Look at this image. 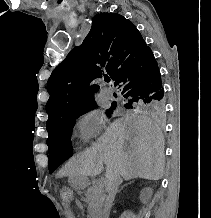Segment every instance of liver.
<instances>
[{
  "label": "liver",
  "mask_w": 211,
  "mask_h": 218,
  "mask_svg": "<svg viewBox=\"0 0 211 218\" xmlns=\"http://www.w3.org/2000/svg\"><path fill=\"white\" fill-rule=\"evenodd\" d=\"M87 152L74 156L65 168V176H93L106 172L124 180L145 178L160 180L164 170V138L160 128L146 116L126 114L110 124Z\"/></svg>",
  "instance_id": "obj_1"
}]
</instances>
